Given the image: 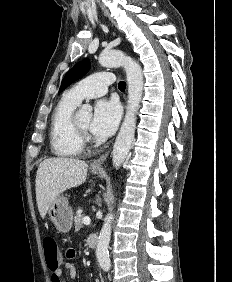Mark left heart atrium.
I'll list each match as a JSON object with an SVG mask.
<instances>
[{"instance_id":"left-heart-atrium-1","label":"left heart atrium","mask_w":232,"mask_h":282,"mask_svg":"<svg viewBox=\"0 0 232 282\" xmlns=\"http://www.w3.org/2000/svg\"><path fill=\"white\" fill-rule=\"evenodd\" d=\"M121 118V106L116 100H99L91 119L90 130L100 137L112 135Z\"/></svg>"}]
</instances>
